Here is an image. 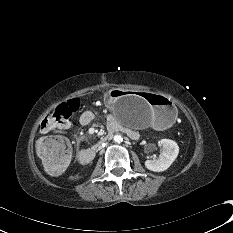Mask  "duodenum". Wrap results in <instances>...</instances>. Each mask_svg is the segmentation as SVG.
I'll use <instances>...</instances> for the list:
<instances>
[{
	"label": "duodenum",
	"mask_w": 233,
	"mask_h": 233,
	"mask_svg": "<svg viewBox=\"0 0 233 233\" xmlns=\"http://www.w3.org/2000/svg\"><path fill=\"white\" fill-rule=\"evenodd\" d=\"M116 132H124V133H126V134H128L130 136H132L134 134V132H132L131 130H128V129L124 128V127H121V126H119L117 124H112V125L109 126V130L107 131V133L102 136L99 144L108 142ZM97 151H98V145L93 146V147H91L89 149L80 150L78 152L79 162L82 163V164L91 163L94 160V158H95V156L97 154Z\"/></svg>",
	"instance_id": "obj_1"
}]
</instances>
